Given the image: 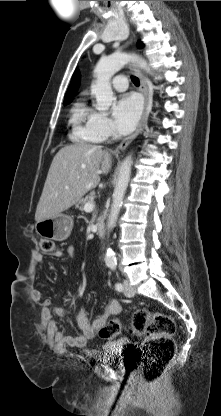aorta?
Returning a JSON list of instances; mask_svg holds the SVG:
<instances>
[{
  "mask_svg": "<svg viewBox=\"0 0 221 416\" xmlns=\"http://www.w3.org/2000/svg\"><path fill=\"white\" fill-rule=\"evenodd\" d=\"M130 61L137 62L138 66L150 72V68L143 58L137 55L127 53H114L110 56L101 58L95 69V83L91 86V92L96 98V109L106 111L111 106L114 97L110 84L111 77L118 72L125 64ZM132 157L127 156L121 163L118 179L113 192V202L111 205L110 215L107 221V230L110 232L118 219L120 209L122 207L123 198L128 187L131 175ZM105 264L109 267L116 265L115 253L108 248L104 258Z\"/></svg>",
  "mask_w": 221,
  "mask_h": 416,
  "instance_id": "aorta-1",
  "label": "aorta"
}]
</instances>
